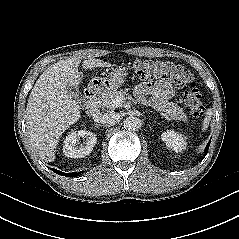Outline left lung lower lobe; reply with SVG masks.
I'll return each instance as SVG.
<instances>
[{"label":"left lung lower lobe","mask_w":239,"mask_h":239,"mask_svg":"<svg viewBox=\"0 0 239 239\" xmlns=\"http://www.w3.org/2000/svg\"><path fill=\"white\" fill-rule=\"evenodd\" d=\"M210 142H211V141H209V143H208L207 146H206V149H205V155H206L207 152H208V148H209V146H210Z\"/></svg>","instance_id":"1"}]
</instances>
